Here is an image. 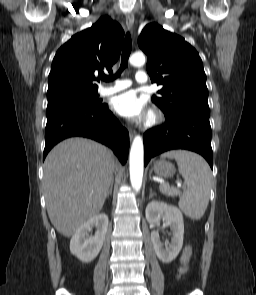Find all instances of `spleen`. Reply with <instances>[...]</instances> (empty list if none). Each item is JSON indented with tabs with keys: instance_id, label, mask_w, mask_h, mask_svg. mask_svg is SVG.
Wrapping results in <instances>:
<instances>
[{
	"instance_id": "spleen-1",
	"label": "spleen",
	"mask_w": 256,
	"mask_h": 295,
	"mask_svg": "<svg viewBox=\"0 0 256 295\" xmlns=\"http://www.w3.org/2000/svg\"><path fill=\"white\" fill-rule=\"evenodd\" d=\"M162 158L177 161L187 191L182 193L168 183L160 185V191L168 196L180 197L179 207L190 218L198 220L204 215L209 203L211 171L207 162L198 154L185 150H173L162 154Z\"/></svg>"
}]
</instances>
